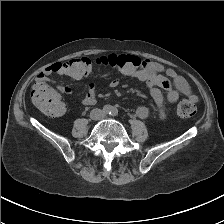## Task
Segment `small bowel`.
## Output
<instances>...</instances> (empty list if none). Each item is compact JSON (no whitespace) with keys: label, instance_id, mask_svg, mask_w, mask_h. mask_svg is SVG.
<instances>
[{"label":"small bowel","instance_id":"small-bowel-1","mask_svg":"<svg viewBox=\"0 0 224 224\" xmlns=\"http://www.w3.org/2000/svg\"><path fill=\"white\" fill-rule=\"evenodd\" d=\"M62 62H54L47 65L36 77V84H46L50 82L49 77L52 74L63 75ZM131 78L143 83L148 89L150 96L156 104V108L161 119L166 117L165 97L163 91H166V98L170 102H176L181 95L187 96L191 101L197 100L192 92L188 82L179 75L174 69L165 67L161 63L145 60L137 71L129 75ZM121 83L119 77L114 78L108 84L111 89L117 88ZM61 94H70L71 89L65 85H58ZM83 106H90L96 102V88L94 84H89L84 98L80 101ZM136 114L141 119L149 116V110L145 106H139Z\"/></svg>","mask_w":224,"mask_h":224}]
</instances>
